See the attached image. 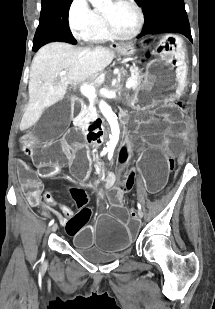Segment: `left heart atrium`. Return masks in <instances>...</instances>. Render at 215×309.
Instances as JSON below:
<instances>
[{
  "label": "left heart atrium",
  "instance_id": "obj_1",
  "mask_svg": "<svg viewBox=\"0 0 215 309\" xmlns=\"http://www.w3.org/2000/svg\"><path fill=\"white\" fill-rule=\"evenodd\" d=\"M108 20H114V19L108 18Z\"/></svg>",
  "mask_w": 215,
  "mask_h": 309
}]
</instances>
